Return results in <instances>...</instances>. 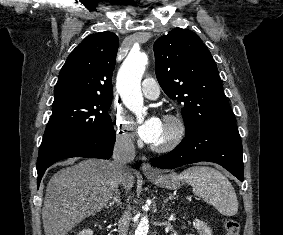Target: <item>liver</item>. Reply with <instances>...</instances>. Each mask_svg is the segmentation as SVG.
<instances>
[{
  "instance_id": "obj_1",
  "label": "liver",
  "mask_w": 283,
  "mask_h": 235,
  "mask_svg": "<svg viewBox=\"0 0 283 235\" xmlns=\"http://www.w3.org/2000/svg\"><path fill=\"white\" fill-rule=\"evenodd\" d=\"M133 183L134 176L127 172L125 188L131 189ZM116 188L117 173L109 160L85 159L61 169L46 189L42 209L45 235H67L82 220L106 207Z\"/></svg>"
}]
</instances>
